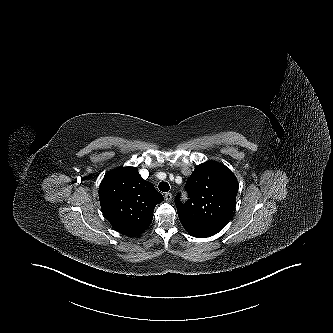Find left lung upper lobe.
<instances>
[{"label": "left lung upper lobe", "mask_w": 333, "mask_h": 333, "mask_svg": "<svg viewBox=\"0 0 333 333\" xmlns=\"http://www.w3.org/2000/svg\"><path fill=\"white\" fill-rule=\"evenodd\" d=\"M186 204L175 199L181 224L192 236L206 238L221 231L233 212L239 184L224 164L208 161L188 178Z\"/></svg>", "instance_id": "left-lung-upper-lobe-1"}]
</instances>
